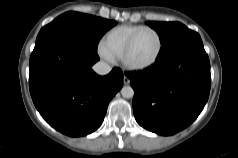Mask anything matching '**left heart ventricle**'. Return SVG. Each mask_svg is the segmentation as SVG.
<instances>
[{"label": "left heart ventricle", "mask_w": 238, "mask_h": 158, "mask_svg": "<svg viewBox=\"0 0 238 158\" xmlns=\"http://www.w3.org/2000/svg\"><path fill=\"white\" fill-rule=\"evenodd\" d=\"M158 38L152 31L142 32L129 55V62L141 65L150 62L158 51Z\"/></svg>", "instance_id": "obj_1"}]
</instances>
